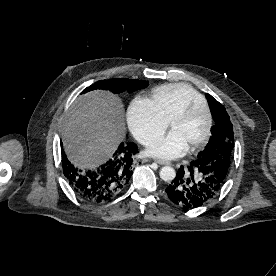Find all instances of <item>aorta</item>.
Here are the masks:
<instances>
[{
  "label": "aorta",
  "mask_w": 276,
  "mask_h": 276,
  "mask_svg": "<svg viewBox=\"0 0 276 276\" xmlns=\"http://www.w3.org/2000/svg\"><path fill=\"white\" fill-rule=\"evenodd\" d=\"M175 175V170L171 166H164L160 170V178L165 182L174 180Z\"/></svg>",
  "instance_id": "1"
}]
</instances>
